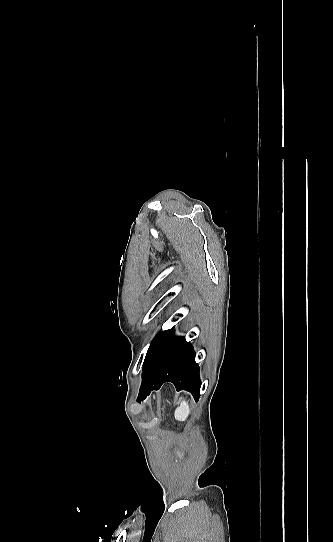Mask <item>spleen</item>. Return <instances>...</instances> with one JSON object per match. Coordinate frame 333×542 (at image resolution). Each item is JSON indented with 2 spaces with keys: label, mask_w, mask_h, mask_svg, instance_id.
<instances>
[{
  "label": "spleen",
  "mask_w": 333,
  "mask_h": 542,
  "mask_svg": "<svg viewBox=\"0 0 333 542\" xmlns=\"http://www.w3.org/2000/svg\"><path fill=\"white\" fill-rule=\"evenodd\" d=\"M190 412L189 402H187V400H182L179 408H176L174 412V418L175 420H178V422H186Z\"/></svg>",
  "instance_id": "obj_1"
}]
</instances>
